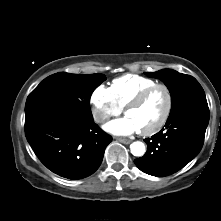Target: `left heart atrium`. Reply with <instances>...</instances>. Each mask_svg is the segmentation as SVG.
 Returning <instances> with one entry per match:
<instances>
[{
    "label": "left heart atrium",
    "mask_w": 221,
    "mask_h": 221,
    "mask_svg": "<svg viewBox=\"0 0 221 221\" xmlns=\"http://www.w3.org/2000/svg\"><path fill=\"white\" fill-rule=\"evenodd\" d=\"M105 129L116 135H129L139 131L136 123L129 117L111 121L106 124Z\"/></svg>",
    "instance_id": "obj_1"
}]
</instances>
